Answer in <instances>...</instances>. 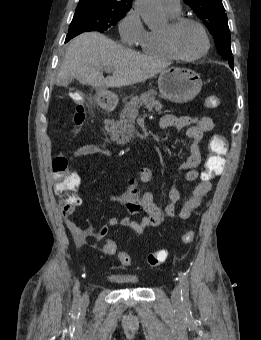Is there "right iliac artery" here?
<instances>
[{"mask_svg": "<svg viewBox=\"0 0 261 340\" xmlns=\"http://www.w3.org/2000/svg\"><path fill=\"white\" fill-rule=\"evenodd\" d=\"M75 288H76L77 292H79L78 291V288H79V283L78 282H76ZM74 306H75V308H78L80 306V297H79V294H77V297L74 300Z\"/></svg>", "mask_w": 261, "mask_h": 340, "instance_id": "1", "label": "right iliac artery"}]
</instances>
